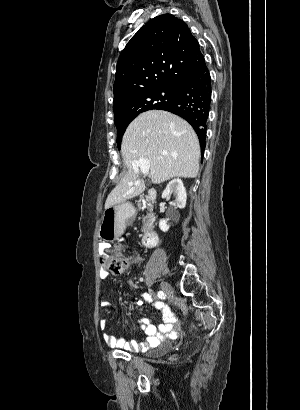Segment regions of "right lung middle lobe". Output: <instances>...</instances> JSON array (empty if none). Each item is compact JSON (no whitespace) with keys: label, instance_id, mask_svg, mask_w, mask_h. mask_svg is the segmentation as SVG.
Masks as SVG:
<instances>
[{"label":"right lung middle lobe","instance_id":"right-lung-middle-lobe-1","mask_svg":"<svg viewBox=\"0 0 300 410\" xmlns=\"http://www.w3.org/2000/svg\"><path fill=\"white\" fill-rule=\"evenodd\" d=\"M177 93V88H166L155 90L151 92H146L140 95L135 103L136 113L132 116L128 117H121L119 119H115V125L117 127V144L118 147L121 145L122 136L129 125V123L141 112L151 110V109H159L162 106L169 104Z\"/></svg>","mask_w":300,"mask_h":410}]
</instances>
